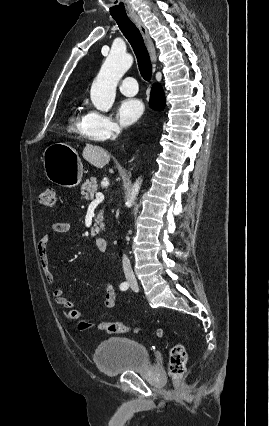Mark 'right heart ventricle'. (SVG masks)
I'll return each instance as SVG.
<instances>
[{"label":"right heart ventricle","instance_id":"right-heart-ventricle-1","mask_svg":"<svg viewBox=\"0 0 269 426\" xmlns=\"http://www.w3.org/2000/svg\"><path fill=\"white\" fill-rule=\"evenodd\" d=\"M84 118L85 116H80V115L73 117L71 119L72 126L76 128L77 130L83 132Z\"/></svg>","mask_w":269,"mask_h":426}]
</instances>
